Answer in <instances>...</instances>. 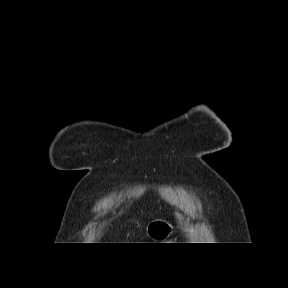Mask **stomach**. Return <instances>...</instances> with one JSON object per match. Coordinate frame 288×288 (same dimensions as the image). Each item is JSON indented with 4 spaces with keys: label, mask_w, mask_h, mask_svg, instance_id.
<instances>
[{
    "label": "stomach",
    "mask_w": 288,
    "mask_h": 288,
    "mask_svg": "<svg viewBox=\"0 0 288 288\" xmlns=\"http://www.w3.org/2000/svg\"><path fill=\"white\" fill-rule=\"evenodd\" d=\"M173 227L163 220H155L147 225L146 233L154 241H165L172 233Z\"/></svg>",
    "instance_id": "obj_1"
}]
</instances>
